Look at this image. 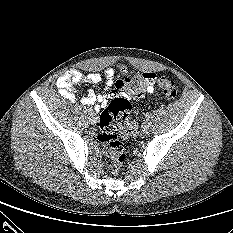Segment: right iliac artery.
Here are the masks:
<instances>
[{
	"mask_svg": "<svg viewBox=\"0 0 233 233\" xmlns=\"http://www.w3.org/2000/svg\"><path fill=\"white\" fill-rule=\"evenodd\" d=\"M86 111L88 114L92 115L93 114V110L92 108H86Z\"/></svg>",
	"mask_w": 233,
	"mask_h": 233,
	"instance_id": "1",
	"label": "right iliac artery"
}]
</instances>
